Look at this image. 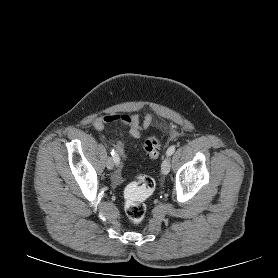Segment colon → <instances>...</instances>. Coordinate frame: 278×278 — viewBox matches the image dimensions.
<instances>
[{
  "instance_id": "5ec220e1",
  "label": "colon",
  "mask_w": 278,
  "mask_h": 278,
  "mask_svg": "<svg viewBox=\"0 0 278 278\" xmlns=\"http://www.w3.org/2000/svg\"><path fill=\"white\" fill-rule=\"evenodd\" d=\"M147 155L155 159L159 156L160 140L150 137L144 143ZM155 181L146 174H138L135 180L125 189V212L128 219L133 223H140L146 215V199L153 193Z\"/></svg>"
}]
</instances>
